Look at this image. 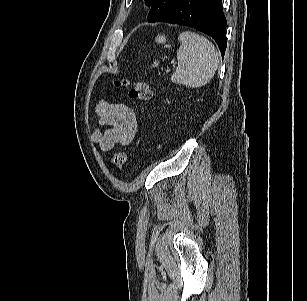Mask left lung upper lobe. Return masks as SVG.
<instances>
[{"label": "left lung upper lobe", "mask_w": 307, "mask_h": 301, "mask_svg": "<svg viewBox=\"0 0 307 301\" xmlns=\"http://www.w3.org/2000/svg\"><path fill=\"white\" fill-rule=\"evenodd\" d=\"M146 4L151 6L148 15V22H156L167 14L179 0H145Z\"/></svg>", "instance_id": "1"}]
</instances>
